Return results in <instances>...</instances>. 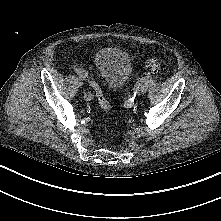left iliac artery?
<instances>
[{"label": "left iliac artery", "instance_id": "left-iliac-artery-1", "mask_svg": "<svg viewBox=\"0 0 221 221\" xmlns=\"http://www.w3.org/2000/svg\"><path fill=\"white\" fill-rule=\"evenodd\" d=\"M151 79H152V76L148 75L138 81V83L136 84V87H135L134 96L130 97L129 99H127L124 102L125 108H131L134 105L136 92L139 91V88L142 84H147Z\"/></svg>", "mask_w": 221, "mask_h": 221}]
</instances>
